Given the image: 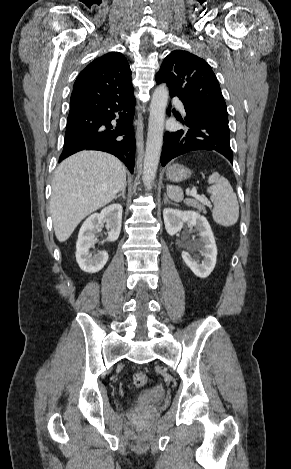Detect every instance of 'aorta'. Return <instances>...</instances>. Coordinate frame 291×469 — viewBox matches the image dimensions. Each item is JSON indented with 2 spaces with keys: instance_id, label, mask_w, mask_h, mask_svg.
<instances>
[{
  "instance_id": "1",
  "label": "aorta",
  "mask_w": 291,
  "mask_h": 469,
  "mask_svg": "<svg viewBox=\"0 0 291 469\" xmlns=\"http://www.w3.org/2000/svg\"><path fill=\"white\" fill-rule=\"evenodd\" d=\"M168 97L169 91L165 85H159L152 96L142 177L145 186L152 184L156 176L162 149Z\"/></svg>"
}]
</instances>
